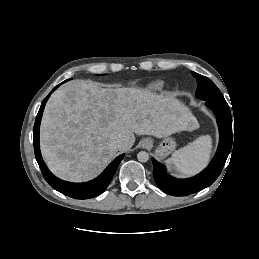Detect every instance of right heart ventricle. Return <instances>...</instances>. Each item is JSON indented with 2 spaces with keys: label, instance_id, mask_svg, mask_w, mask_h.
Returning a JSON list of instances; mask_svg holds the SVG:
<instances>
[{
  "label": "right heart ventricle",
  "instance_id": "e07e8e85",
  "mask_svg": "<svg viewBox=\"0 0 259 259\" xmlns=\"http://www.w3.org/2000/svg\"><path fill=\"white\" fill-rule=\"evenodd\" d=\"M161 88H162L161 84L155 83V84L150 86V91L157 92V91L161 90Z\"/></svg>",
  "mask_w": 259,
  "mask_h": 259
}]
</instances>
